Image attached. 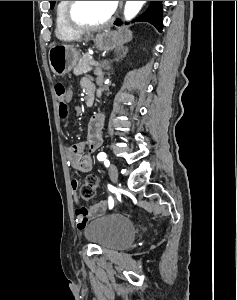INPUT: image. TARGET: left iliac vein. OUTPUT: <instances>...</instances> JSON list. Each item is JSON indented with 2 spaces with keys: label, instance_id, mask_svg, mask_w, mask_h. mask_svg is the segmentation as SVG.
Here are the masks:
<instances>
[{
  "label": "left iliac vein",
  "instance_id": "left-iliac-vein-1",
  "mask_svg": "<svg viewBox=\"0 0 237 300\" xmlns=\"http://www.w3.org/2000/svg\"><path fill=\"white\" fill-rule=\"evenodd\" d=\"M108 172H109L110 178L114 181V183H117V179H118L117 167L114 164H110Z\"/></svg>",
  "mask_w": 237,
  "mask_h": 300
}]
</instances>
